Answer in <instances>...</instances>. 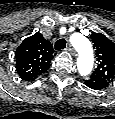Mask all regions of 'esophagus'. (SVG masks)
I'll return each mask as SVG.
<instances>
[{
  "label": "esophagus",
  "mask_w": 115,
  "mask_h": 119,
  "mask_svg": "<svg viewBox=\"0 0 115 119\" xmlns=\"http://www.w3.org/2000/svg\"><path fill=\"white\" fill-rule=\"evenodd\" d=\"M67 50L73 55V56H76L77 55V53H76V51L74 50V48L72 47V46H68L67 47Z\"/></svg>",
  "instance_id": "obj_1"
}]
</instances>
